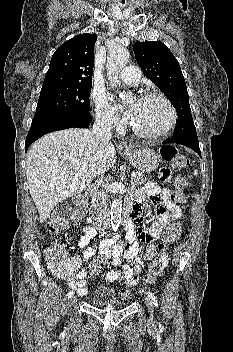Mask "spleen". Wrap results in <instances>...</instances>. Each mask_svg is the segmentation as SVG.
<instances>
[{
  "label": "spleen",
  "mask_w": 233,
  "mask_h": 352,
  "mask_svg": "<svg viewBox=\"0 0 233 352\" xmlns=\"http://www.w3.org/2000/svg\"><path fill=\"white\" fill-rule=\"evenodd\" d=\"M193 174H194V175H198V171H197V170H194Z\"/></svg>",
  "instance_id": "3e777b00"
}]
</instances>
